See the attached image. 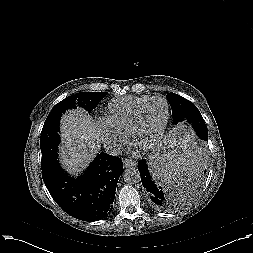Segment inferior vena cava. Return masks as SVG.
Masks as SVG:
<instances>
[{
  "label": "inferior vena cava",
  "mask_w": 253,
  "mask_h": 253,
  "mask_svg": "<svg viewBox=\"0 0 253 253\" xmlns=\"http://www.w3.org/2000/svg\"><path fill=\"white\" fill-rule=\"evenodd\" d=\"M105 151L111 155H119L121 151V146L117 145L114 142H106L104 144Z\"/></svg>",
  "instance_id": "obj_1"
}]
</instances>
